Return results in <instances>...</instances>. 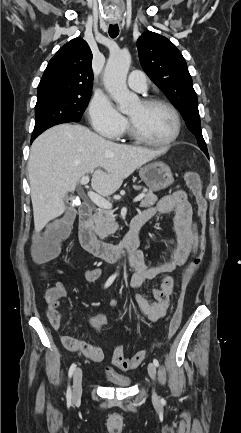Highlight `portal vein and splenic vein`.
Listing matches in <instances>:
<instances>
[{
  "label": "portal vein and splenic vein",
  "instance_id": "obj_1",
  "mask_svg": "<svg viewBox=\"0 0 241 433\" xmlns=\"http://www.w3.org/2000/svg\"><path fill=\"white\" fill-rule=\"evenodd\" d=\"M89 180H90L89 176H84V177L81 178L80 184L85 186V185L88 184ZM88 196H89L90 200L95 205H97L98 207L103 208V209H111L112 208V203L110 201L106 200L105 198L101 197L97 193L89 191L88 192ZM144 196H145V194L138 195L134 199V202L141 201L144 198Z\"/></svg>",
  "mask_w": 241,
  "mask_h": 433
}]
</instances>
